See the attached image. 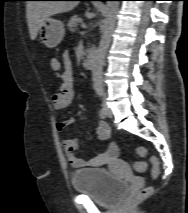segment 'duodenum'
<instances>
[{"mask_svg": "<svg viewBox=\"0 0 188 213\" xmlns=\"http://www.w3.org/2000/svg\"><path fill=\"white\" fill-rule=\"evenodd\" d=\"M96 62V52L92 51L84 60V68L92 70Z\"/></svg>", "mask_w": 188, "mask_h": 213, "instance_id": "410a0bca", "label": "duodenum"}]
</instances>
